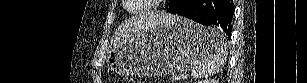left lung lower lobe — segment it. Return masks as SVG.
Returning <instances> with one entry per match:
<instances>
[{"label": "left lung lower lobe", "instance_id": "0a47b994", "mask_svg": "<svg viewBox=\"0 0 307 83\" xmlns=\"http://www.w3.org/2000/svg\"><path fill=\"white\" fill-rule=\"evenodd\" d=\"M167 12L179 14L203 25H216L228 36L232 31V0H172Z\"/></svg>", "mask_w": 307, "mask_h": 83}]
</instances>
